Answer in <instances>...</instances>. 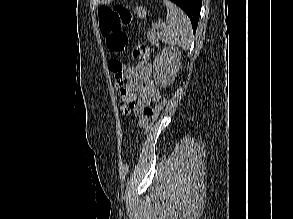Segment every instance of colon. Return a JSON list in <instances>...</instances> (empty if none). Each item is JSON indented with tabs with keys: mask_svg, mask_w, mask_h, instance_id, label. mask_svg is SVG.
Segmentation results:
<instances>
[{
	"mask_svg": "<svg viewBox=\"0 0 293 219\" xmlns=\"http://www.w3.org/2000/svg\"><path fill=\"white\" fill-rule=\"evenodd\" d=\"M99 27L103 36L106 38L107 46L110 50L116 53H122L128 45V37L123 32L124 25L130 22V12L123 5H116L114 7H101L98 10ZM133 55L137 58L146 57V49L143 45H136L133 48ZM108 67L117 83H120L124 73L123 64L116 58L110 59ZM166 100L159 102L154 109H152V120H156L160 115ZM150 124L145 128L147 132Z\"/></svg>",
	"mask_w": 293,
	"mask_h": 219,
	"instance_id": "5ec220e1",
	"label": "colon"
}]
</instances>
